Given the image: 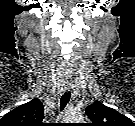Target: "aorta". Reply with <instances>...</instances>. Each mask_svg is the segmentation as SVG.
<instances>
[{
    "mask_svg": "<svg viewBox=\"0 0 135 126\" xmlns=\"http://www.w3.org/2000/svg\"><path fill=\"white\" fill-rule=\"evenodd\" d=\"M68 119L70 121H72V120L81 121L82 120V116L78 114V115H74V116H69Z\"/></svg>",
    "mask_w": 135,
    "mask_h": 126,
    "instance_id": "obj_1",
    "label": "aorta"
}]
</instances>
